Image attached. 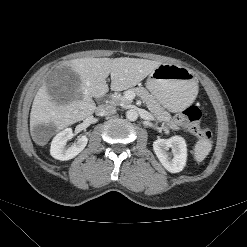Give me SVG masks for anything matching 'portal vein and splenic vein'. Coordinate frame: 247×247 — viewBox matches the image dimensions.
Wrapping results in <instances>:
<instances>
[{"mask_svg": "<svg viewBox=\"0 0 247 247\" xmlns=\"http://www.w3.org/2000/svg\"><path fill=\"white\" fill-rule=\"evenodd\" d=\"M135 97V95H133L132 93L128 92L127 95H126V98L128 100H132L133 98Z\"/></svg>", "mask_w": 247, "mask_h": 247, "instance_id": "1", "label": "portal vein and splenic vein"}]
</instances>
